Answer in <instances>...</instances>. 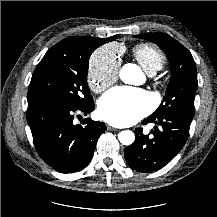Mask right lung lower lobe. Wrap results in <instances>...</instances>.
Instances as JSON below:
<instances>
[{"label":"right lung lower lobe","instance_id":"1","mask_svg":"<svg viewBox=\"0 0 217 217\" xmlns=\"http://www.w3.org/2000/svg\"><path fill=\"white\" fill-rule=\"evenodd\" d=\"M94 107L92 101L78 108L50 104L27 109L36 150L54 170L73 173L91 161L98 138L106 126L90 118L75 125L73 119L75 114L92 112Z\"/></svg>","mask_w":217,"mask_h":217}]
</instances>
